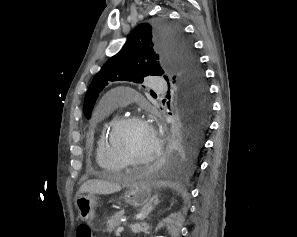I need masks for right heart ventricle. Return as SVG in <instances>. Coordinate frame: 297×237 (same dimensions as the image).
<instances>
[{
    "label": "right heart ventricle",
    "instance_id": "1",
    "mask_svg": "<svg viewBox=\"0 0 297 237\" xmlns=\"http://www.w3.org/2000/svg\"><path fill=\"white\" fill-rule=\"evenodd\" d=\"M113 109L110 107L101 106L100 115L106 116ZM116 119H113L110 122H105L102 124L101 132L96 142V161L101 169L106 171L109 175H114L122 171L125 166L112 154L109 143H108V134L112 126L114 125Z\"/></svg>",
    "mask_w": 297,
    "mask_h": 237
}]
</instances>
